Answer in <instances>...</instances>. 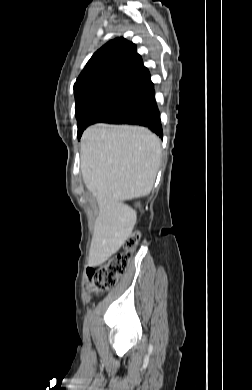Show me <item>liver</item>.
Here are the masks:
<instances>
[{
	"instance_id": "liver-1",
	"label": "liver",
	"mask_w": 252,
	"mask_h": 390,
	"mask_svg": "<svg viewBox=\"0 0 252 390\" xmlns=\"http://www.w3.org/2000/svg\"><path fill=\"white\" fill-rule=\"evenodd\" d=\"M81 171L98 200L89 265L99 266L130 237L136 216L123 201L148 195L160 166V139L139 126L95 124L81 138Z\"/></svg>"
}]
</instances>
